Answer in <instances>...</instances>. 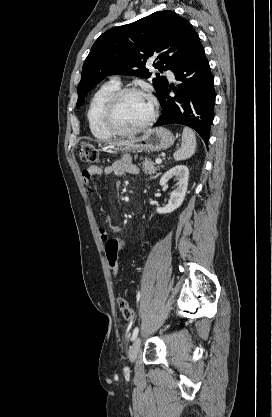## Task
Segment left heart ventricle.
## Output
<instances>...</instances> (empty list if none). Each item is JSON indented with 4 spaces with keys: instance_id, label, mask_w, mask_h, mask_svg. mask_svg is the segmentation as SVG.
Masks as SVG:
<instances>
[{
    "instance_id": "b2bd125f",
    "label": "left heart ventricle",
    "mask_w": 272,
    "mask_h": 417,
    "mask_svg": "<svg viewBox=\"0 0 272 417\" xmlns=\"http://www.w3.org/2000/svg\"><path fill=\"white\" fill-rule=\"evenodd\" d=\"M151 115V104L143 96L129 95L119 104L115 124L121 129H132L143 124Z\"/></svg>"
}]
</instances>
